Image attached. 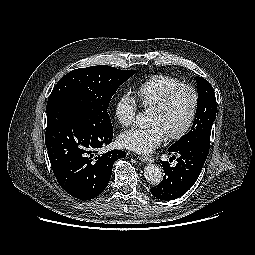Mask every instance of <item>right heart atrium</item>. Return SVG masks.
Here are the masks:
<instances>
[{
    "label": "right heart atrium",
    "mask_w": 255,
    "mask_h": 255,
    "mask_svg": "<svg viewBox=\"0 0 255 255\" xmlns=\"http://www.w3.org/2000/svg\"><path fill=\"white\" fill-rule=\"evenodd\" d=\"M138 104L129 93H122L114 107L115 118L122 126L131 125L136 117Z\"/></svg>",
    "instance_id": "1"
}]
</instances>
